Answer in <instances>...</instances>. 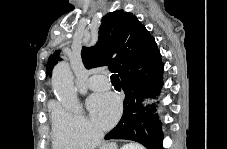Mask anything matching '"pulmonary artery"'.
<instances>
[{
    "label": "pulmonary artery",
    "instance_id": "1",
    "mask_svg": "<svg viewBox=\"0 0 227 149\" xmlns=\"http://www.w3.org/2000/svg\"><path fill=\"white\" fill-rule=\"evenodd\" d=\"M88 86L95 91L104 90L109 87V79L105 75L95 74L89 78Z\"/></svg>",
    "mask_w": 227,
    "mask_h": 149
}]
</instances>
